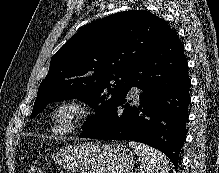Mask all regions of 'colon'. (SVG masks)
<instances>
[{
    "mask_svg": "<svg viewBox=\"0 0 219 173\" xmlns=\"http://www.w3.org/2000/svg\"><path fill=\"white\" fill-rule=\"evenodd\" d=\"M28 173H43L42 165L39 162H33L29 167Z\"/></svg>",
    "mask_w": 219,
    "mask_h": 173,
    "instance_id": "colon-1",
    "label": "colon"
}]
</instances>
